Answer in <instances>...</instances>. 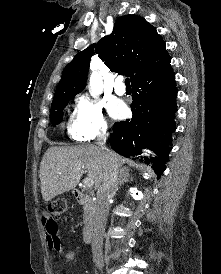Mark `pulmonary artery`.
Returning <instances> with one entry per match:
<instances>
[{
	"label": "pulmonary artery",
	"instance_id": "pulmonary-artery-1",
	"mask_svg": "<svg viewBox=\"0 0 221 274\" xmlns=\"http://www.w3.org/2000/svg\"><path fill=\"white\" fill-rule=\"evenodd\" d=\"M114 91L118 95H123L126 92L125 85L123 84V79L118 77L114 84Z\"/></svg>",
	"mask_w": 221,
	"mask_h": 274
}]
</instances>
